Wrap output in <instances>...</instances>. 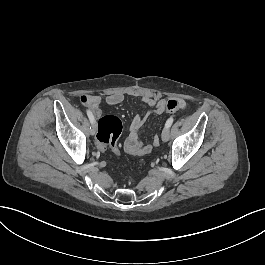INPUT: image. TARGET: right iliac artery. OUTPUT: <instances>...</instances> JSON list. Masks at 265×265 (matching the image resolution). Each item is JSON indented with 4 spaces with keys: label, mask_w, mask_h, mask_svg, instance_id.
Wrapping results in <instances>:
<instances>
[{
    "label": "right iliac artery",
    "mask_w": 265,
    "mask_h": 265,
    "mask_svg": "<svg viewBox=\"0 0 265 265\" xmlns=\"http://www.w3.org/2000/svg\"><path fill=\"white\" fill-rule=\"evenodd\" d=\"M86 112H87V116H88L90 122L94 123L95 120H94V116H93L92 112L90 110H87Z\"/></svg>",
    "instance_id": "right-iliac-artery-1"
}]
</instances>
